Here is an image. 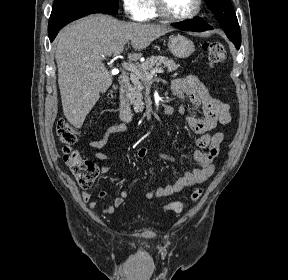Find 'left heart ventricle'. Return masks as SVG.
<instances>
[{"mask_svg":"<svg viewBox=\"0 0 288 280\" xmlns=\"http://www.w3.org/2000/svg\"><path fill=\"white\" fill-rule=\"evenodd\" d=\"M167 11L174 16L190 13L196 5V0H164Z\"/></svg>","mask_w":288,"mask_h":280,"instance_id":"left-heart-ventricle-1","label":"left heart ventricle"}]
</instances>
